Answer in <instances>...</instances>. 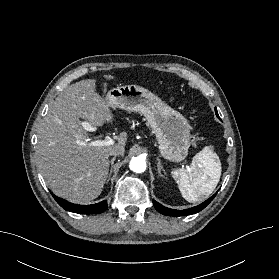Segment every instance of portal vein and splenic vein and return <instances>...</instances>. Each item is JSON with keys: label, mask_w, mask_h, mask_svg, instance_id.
Instances as JSON below:
<instances>
[{"label": "portal vein and splenic vein", "mask_w": 279, "mask_h": 279, "mask_svg": "<svg viewBox=\"0 0 279 279\" xmlns=\"http://www.w3.org/2000/svg\"><path fill=\"white\" fill-rule=\"evenodd\" d=\"M83 127L87 131H93L92 126L87 123H83ZM85 145V143H83ZM90 146H110L114 144V141L111 137L106 136L105 140H95L88 143Z\"/></svg>", "instance_id": "obj_1"}]
</instances>
